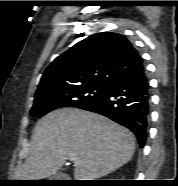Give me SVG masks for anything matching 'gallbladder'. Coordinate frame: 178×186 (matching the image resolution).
Masks as SVG:
<instances>
[{"mask_svg":"<svg viewBox=\"0 0 178 186\" xmlns=\"http://www.w3.org/2000/svg\"><path fill=\"white\" fill-rule=\"evenodd\" d=\"M65 177L64 173H56L55 175L52 176L53 179L58 180L60 178Z\"/></svg>","mask_w":178,"mask_h":186,"instance_id":"bac80fb5","label":"gallbladder"}]
</instances>
